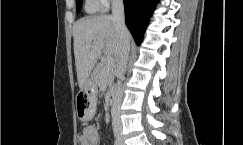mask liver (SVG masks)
Returning a JSON list of instances; mask_svg holds the SVG:
<instances>
[{"mask_svg": "<svg viewBox=\"0 0 243 145\" xmlns=\"http://www.w3.org/2000/svg\"><path fill=\"white\" fill-rule=\"evenodd\" d=\"M73 38L77 79L82 88L101 53L117 58L121 43L117 24L110 15L79 19L73 26Z\"/></svg>", "mask_w": 243, "mask_h": 145, "instance_id": "6515ba94", "label": "liver"}]
</instances>
